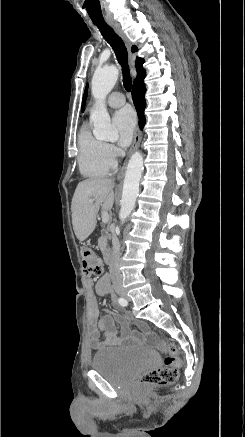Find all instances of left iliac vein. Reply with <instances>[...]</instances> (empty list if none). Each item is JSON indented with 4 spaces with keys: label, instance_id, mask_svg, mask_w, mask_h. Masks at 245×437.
Listing matches in <instances>:
<instances>
[{
    "label": "left iliac vein",
    "instance_id": "left-iliac-vein-1",
    "mask_svg": "<svg viewBox=\"0 0 245 437\" xmlns=\"http://www.w3.org/2000/svg\"><path fill=\"white\" fill-rule=\"evenodd\" d=\"M125 298L128 300V301H130V298L125 294Z\"/></svg>",
    "mask_w": 245,
    "mask_h": 437
}]
</instances>
